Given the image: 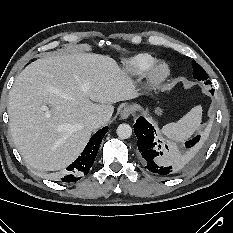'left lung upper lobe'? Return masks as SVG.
<instances>
[{
  "label": "left lung upper lobe",
  "instance_id": "1",
  "mask_svg": "<svg viewBox=\"0 0 233 233\" xmlns=\"http://www.w3.org/2000/svg\"><path fill=\"white\" fill-rule=\"evenodd\" d=\"M193 77L199 81L208 79V75L205 70L193 60Z\"/></svg>",
  "mask_w": 233,
  "mask_h": 233
}]
</instances>
